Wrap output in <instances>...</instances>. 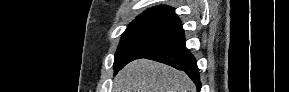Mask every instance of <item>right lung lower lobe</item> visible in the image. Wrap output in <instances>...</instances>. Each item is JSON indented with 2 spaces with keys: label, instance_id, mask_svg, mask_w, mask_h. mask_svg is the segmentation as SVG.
Listing matches in <instances>:
<instances>
[{
  "label": "right lung lower lobe",
  "instance_id": "98d812e1",
  "mask_svg": "<svg viewBox=\"0 0 289 92\" xmlns=\"http://www.w3.org/2000/svg\"><path fill=\"white\" fill-rule=\"evenodd\" d=\"M142 58L165 63L186 72L196 85L197 90L200 91L201 82L197 63L194 56L185 46V39Z\"/></svg>",
  "mask_w": 289,
  "mask_h": 92
}]
</instances>
